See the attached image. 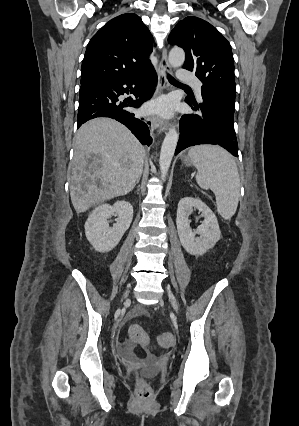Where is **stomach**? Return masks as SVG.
Here are the masks:
<instances>
[{
    "mask_svg": "<svg viewBox=\"0 0 299 426\" xmlns=\"http://www.w3.org/2000/svg\"><path fill=\"white\" fill-rule=\"evenodd\" d=\"M183 162H184L186 165H191V164H192V161H191V159L189 158V156H184V157H183Z\"/></svg>",
    "mask_w": 299,
    "mask_h": 426,
    "instance_id": "stomach-1",
    "label": "stomach"
}]
</instances>
